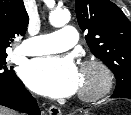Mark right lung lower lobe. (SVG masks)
I'll use <instances>...</instances> for the list:
<instances>
[{
    "instance_id": "obj_1",
    "label": "right lung lower lobe",
    "mask_w": 131,
    "mask_h": 115,
    "mask_svg": "<svg viewBox=\"0 0 131 115\" xmlns=\"http://www.w3.org/2000/svg\"><path fill=\"white\" fill-rule=\"evenodd\" d=\"M0 105L15 109L30 115H40L35 98L16 77L10 82H0Z\"/></svg>"
}]
</instances>
